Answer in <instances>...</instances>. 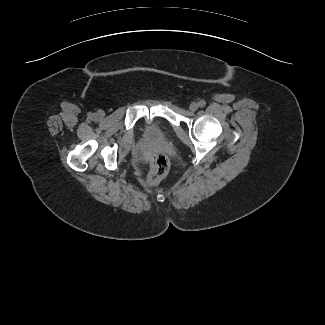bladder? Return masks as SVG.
Here are the masks:
<instances>
[{"label": "bladder", "instance_id": "1", "mask_svg": "<svg viewBox=\"0 0 325 325\" xmlns=\"http://www.w3.org/2000/svg\"><path fill=\"white\" fill-rule=\"evenodd\" d=\"M150 136L156 139H164L167 136V132L158 126H151L147 129Z\"/></svg>", "mask_w": 325, "mask_h": 325}]
</instances>
